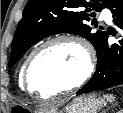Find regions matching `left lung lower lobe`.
<instances>
[{
  "label": "left lung lower lobe",
  "mask_w": 123,
  "mask_h": 113,
  "mask_svg": "<svg viewBox=\"0 0 123 113\" xmlns=\"http://www.w3.org/2000/svg\"><path fill=\"white\" fill-rule=\"evenodd\" d=\"M108 9L121 33L117 44L108 45V35L97 48V68L77 94L104 90L123 84V0H111Z\"/></svg>",
  "instance_id": "obj_1"
}]
</instances>
